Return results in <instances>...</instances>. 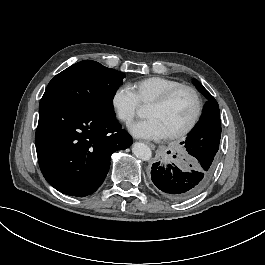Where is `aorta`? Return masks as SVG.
<instances>
[{"label":"aorta","instance_id":"762f6f07","mask_svg":"<svg viewBox=\"0 0 265 265\" xmlns=\"http://www.w3.org/2000/svg\"><path fill=\"white\" fill-rule=\"evenodd\" d=\"M139 116L142 117V115H139ZM132 152L137 158L143 161L150 160L152 156L151 149L146 144L140 143V142L134 143L132 147Z\"/></svg>","mask_w":265,"mask_h":265}]
</instances>
